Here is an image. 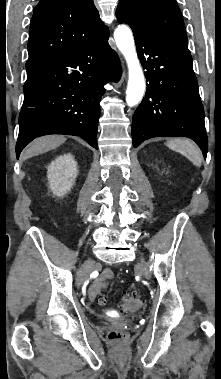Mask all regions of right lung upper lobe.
Listing matches in <instances>:
<instances>
[{
	"label": "right lung upper lobe",
	"instance_id": "right-lung-upper-lobe-1",
	"mask_svg": "<svg viewBox=\"0 0 221 379\" xmlns=\"http://www.w3.org/2000/svg\"><path fill=\"white\" fill-rule=\"evenodd\" d=\"M106 28L93 0H40L30 24L26 66L83 45Z\"/></svg>",
	"mask_w": 221,
	"mask_h": 379
}]
</instances>
